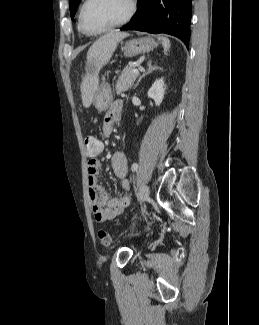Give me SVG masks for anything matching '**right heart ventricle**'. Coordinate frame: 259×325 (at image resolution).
Wrapping results in <instances>:
<instances>
[{
	"label": "right heart ventricle",
	"mask_w": 259,
	"mask_h": 325,
	"mask_svg": "<svg viewBox=\"0 0 259 325\" xmlns=\"http://www.w3.org/2000/svg\"><path fill=\"white\" fill-rule=\"evenodd\" d=\"M78 28H79V30L82 32V30L80 29V26H79V24H78ZM83 33V32H82Z\"/></svg>",
	"instance_id": "1"
}]
</instances>
